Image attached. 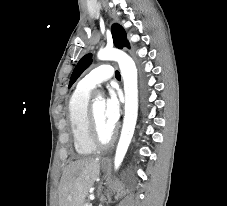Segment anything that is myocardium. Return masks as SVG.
<instances>
[{"label": "myocardium", "mask_w": 227, "mask_h": 206, "mask_svg": "<svg viewBox=\"0 0 227 206\" xmlns=\"http://www.w3.org/2000/svg\"><path fill=\"white\" fill-rule=\"evenodd\" d=\"M88 133L91 142L96 147L100 148L108 147L109 145H111L116 137V132L113 130L108 139L104 140L101 138L97 127L93 104H90L88 108Z\"/></svg>", "instance_id": "1"}]
</instances>
